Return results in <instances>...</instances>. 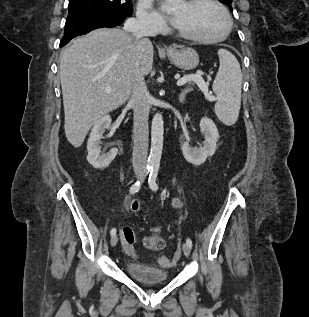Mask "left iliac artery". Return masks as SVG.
<instances>
[{
  "label": "left iliac artery",
  "mask_w": 309,
  "mask_h": 317,
  "mask_svg": "<svg viewBox=\"0 0 309 317\" xmlns=\"http://www.w3.org/2000/svg\"><path fill=\"white\" fill-rule=\"evenodd\" d=\"M158 172H159V165H154L152 167V170L150 172V175H149V187L153 190V191H157L158 190V185L156 183V179H157V175H158ZM186 243L192 247V240L190 238H187L186 239Z\"/></svg>",
  "instance_id": "left-iliac-artery-1"
}]
</instances>
